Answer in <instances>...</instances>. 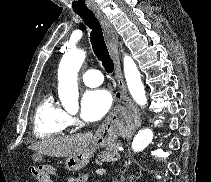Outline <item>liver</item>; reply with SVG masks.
<instances>
[{
  "label": "liver",
  "instance_id": "1",
  "mask_svg": "<svg viewBox=\"0 0 211 182\" xmlns=\"http://www.w3.org/2000/svg\"><path fill=\"white\" fill-rule=\"evenodd\" d=\"M93 133L75 134L49 138L32 144L29 148L51 157H69L86 150L93 139Z\"/></svg>",
  "mask_w": 211,
  "mask_h": 182
}]
</instances>
